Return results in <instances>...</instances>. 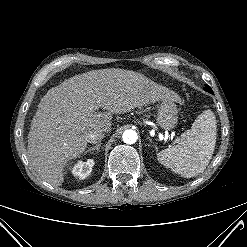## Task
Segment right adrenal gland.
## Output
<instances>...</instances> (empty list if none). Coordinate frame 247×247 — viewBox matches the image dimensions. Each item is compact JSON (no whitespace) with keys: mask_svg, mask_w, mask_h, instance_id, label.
I'll return each instance as SVG.
<instances>
[{"mask_svg":"<svg viewBox=\"0 0 247 247\" xmlns=\"http://www.w3.org/2000/svg\"><path fill=\"white\" fill-rule=\"evenodd\" d=\"M100 147H101V143L95 145L94 147L88 148V149L84 152V154H87L88 152H91V151H93V150L99 151Z\"/></svg>","mask_w":247,"mask_h":247,"instance_id":"obj_1","label":"right adrenal gland"}]
</instances>
